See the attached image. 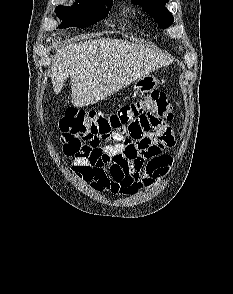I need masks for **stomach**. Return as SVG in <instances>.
Returning <instances> with one entry per match:
<instances>
[{"label":"stomach","instance_id":"1","mask_svg":"<svg viewBox=\"0 0 233 294\" xmlns=\"http://www.w3.org/2000/svg\"><path fill=\"white\" fill-rule=\"evenodd\" d=\"M158 86V80L153 75H145L133 83L135 93L147 94L154 91Z\"/></svg>","mask_w":233,"mask_h":294}]
</instances>
